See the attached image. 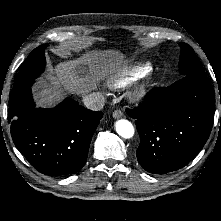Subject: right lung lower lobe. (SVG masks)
Segmentation results:
<instances>
[{"label":"right lung lower lobe","mask_w":221,"mask_h":221,"mask_svg":"<svg viewBox=\"0 0 221 221\" xmlns=\"http://www.w3.org/2000/svg\"><path fill=\"white\" fill-rule=\"evenodd\" d=\"M33 83L14 87L10 93L8 120L14 144L45 175L76 173L86 162L103 113L88 110L70 98L53 109L35 108Z\"/></svg>","instance_id":"98d812e1"}]
</instances>
